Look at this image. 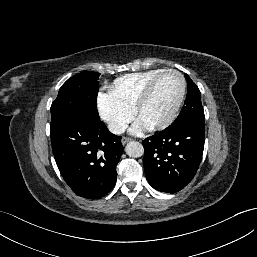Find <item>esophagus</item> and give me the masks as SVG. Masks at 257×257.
<instances>
[{
    "label": "esophagus",
    "mask_w": 257,
    "mask_h": 257,
    "mask_svg": "<svg viewBox=\"0 0 257 257\" xmlns=\"http://www.w3.org/2000/svg\"><path fill=\"white\" fill-rule=\"evenodd\" d=\"M129 141H131V138H129V137H123L122 140H121V142H122L123 145H125V144L128 143Z\"/></svg>",
    "instance_id": "1"
}]
</instances>
